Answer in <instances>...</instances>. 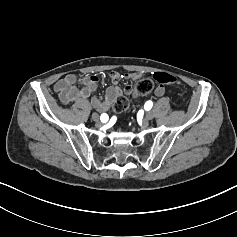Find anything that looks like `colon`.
I'll return each instance as SVG.
<instances>
[{
    "instance_id": "5ec220e1",
    "label": "colon",
    "mask_w": 237,
    "mask_h": 237,
    "mask_svg": "<svg viewBox=\"0 0 237 237\" xmlns=\"http://www.w3.org/2000/svg\"><path fill=\"white\" fill-rule=\"evenodd\" d=\"M154 79L160 84H176L177 79L171 74L165 72H156ZM154 83L149 78H143L136 82L135 86L131 89L130 94L133 97H140L146 95L152 91ZM129 106V100L126 96H119L114 102L113 108L116 112L121 113L127 110Z\"/></svg>"
}]
</instances>
